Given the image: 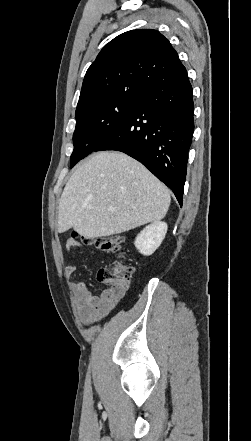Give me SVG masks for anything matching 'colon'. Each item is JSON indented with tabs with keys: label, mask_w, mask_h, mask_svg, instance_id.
Returning <instances> with one entry per match:
<instances>
[{
	"label": "colon",
	"mask_w": 251,
	"mask_h": 441,
	"mask_svg": "<svg viewBox=\"0 0 251 441\" xmlns=\"http://www.w3.org/2000/svg\"><path fill=\"white\" fill-rule=\"evenodd\" d=\"M83 242L102 251L113 253H120L125 245V239L119 235L84 237ZM133 273L134 268L131 265L117 262L100 269L98 277L101 282L110 285L116 291H125L131 284Z\"/></svg>",
	"instance_id": "1"
}]
</instances>
